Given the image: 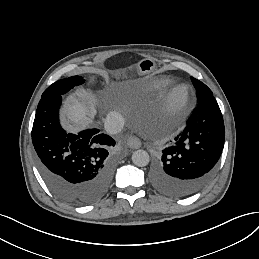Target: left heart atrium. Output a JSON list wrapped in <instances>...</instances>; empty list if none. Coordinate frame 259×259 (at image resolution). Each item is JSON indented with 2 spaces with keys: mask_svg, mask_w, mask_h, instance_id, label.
Wrapping results in <instances>:
<instances>
[{
  "mask_svg": "<svg viewBox=\"0 0 259 259\" xmlns=\"http://www.w3.org/2000/svg\"><path fill=\"white\" fill-rule=\"evenodd\" d=\"M169 151H170L171 153H174V152L179 151V148H178V147H171V148H169Z\"/></svg>",
  "mask_w": 259,
  "mask_h": 259,
  "instance_id": "1",
  "label": "left heart atrium"
}]
</instances>
